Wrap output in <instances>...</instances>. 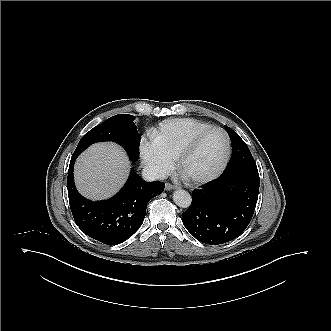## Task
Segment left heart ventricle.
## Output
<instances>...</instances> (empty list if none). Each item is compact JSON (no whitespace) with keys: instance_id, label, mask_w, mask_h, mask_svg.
Wrapping results in <instances>:
<instances>
[{"instance_id":"1","label":"left heart ventricle","mask_w":331,"mask_h":331,"mask_svg":"<svg viewBox=\"0 0 331 331\" xmlns=\"http://www.w3.org/2000/svg\"><path fill=\"white\" fill-rule=\"evenodd\" d=\"M224 147V138L220 132H211L202 137L184 162V174L195 177L211 173L220 164Z\"/></svg>"}]
</instances>
